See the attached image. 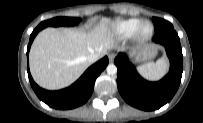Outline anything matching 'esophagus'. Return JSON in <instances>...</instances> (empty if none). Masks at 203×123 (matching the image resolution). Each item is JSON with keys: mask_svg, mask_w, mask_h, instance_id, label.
I'll list each match as a JSON object with an SVG mask.
<instances>
[{"mask_svg": "<svg viewBox=\"0 0 203 123\" xmlns=\"http://www.w3.org/2000/svg\"><path fill=\"white\" fill-rule=\"evenodd\" d=\"M108 58H109V61H110V62H113V60H114V58H115V53H110V54L108 55Z\"/></svg>", "mask_w": 203, "mask_h": 123, "instance_id": "obj_1", "label": "esophagus"}]
</instances>
